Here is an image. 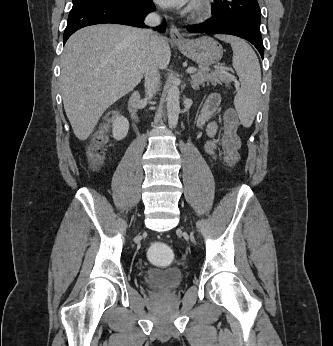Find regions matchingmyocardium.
<instances>
[{
  "mask_svg": "<svg viewBox=\"0 0 333 346\" xmlns=\"http://www.w3.org/2000/svg\"><path fill=\"white\" fill-rule=\"evenodd\" d=\"M211 13L209 0H196L192 6V15L199 19L207 18Z\"/></svg>",
  "mask_w": 333,
  "mask_h": 346,
  "instance_id": "f54148a6",
  "label": "myocardium"
}]
</instances>
